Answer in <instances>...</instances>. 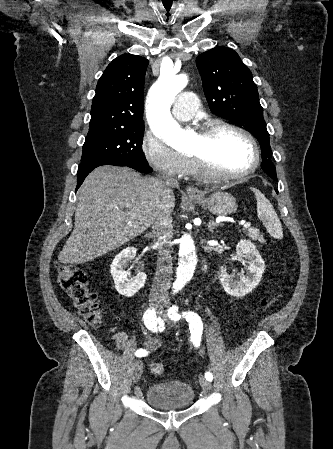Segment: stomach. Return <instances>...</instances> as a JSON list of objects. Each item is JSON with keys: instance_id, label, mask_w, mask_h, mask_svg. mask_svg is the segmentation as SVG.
Masks as SVG:
<instances>
[{"instance_id": "1", "label": "stomach", "mask_w": 333, "mask_h": 449, "mask_svg": "<svg viewBox=\"0 0 333 449\" xmlns=\"http://www.w3.org/2000/svg\"><path fill=\"white\" fill-rule=\"evenodd\" d=\"M197 204L207 208L211 213L227 216L236 208L235 198L226 192H214L208 198H191Z\"/></svg>"}]
</instances>
